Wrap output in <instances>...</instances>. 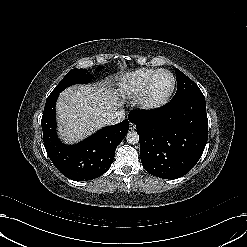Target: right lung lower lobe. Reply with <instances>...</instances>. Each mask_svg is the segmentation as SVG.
Listing matches in <instances>:
<instances>
[{"mask_svg":"<svg viewBox=\"0 0 247 247\" xmlns=\"http://www.w3.org/2000/svg\"><path fill=\"white\" fill-rule=\"evenodd\" d=\"M59 96L50 94L46 100L41 126L46 152L55 167L74 181H88L107 172L117 146L128 133L129 121L105 127L82 142L67 146L56 135L55 104Z\"/></svg>","mask_w":247,"mask_h":247,"instance_id":"98d812e1","label":"right lung lower lobe"}]
</instances>
